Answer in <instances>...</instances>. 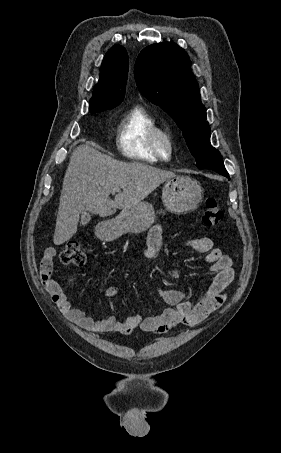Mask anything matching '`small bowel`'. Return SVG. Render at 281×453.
<instances>
[{
  "label": "small bowel",
  "mask_w": 281,
  "mask_h": 453,
  "mask_svg": "<svg viewBox=\"0 0 281 453\" xmlns=\"http://www.w3.org/2000/svg\"><path fill=\"white\" fill-rule=\"evenodd\" d=\"M160 225L150 228L147 236L145 256L148 260L155 259L162 245ZM187 246L197 254H206L207 262L215 273V280L209 292L195 300H188L183 291L177 289L156 288L157 297L171 306L154 317H142L132 315L120 321L116 317L115 308L105 318H97L87 314L78 307L72 306L64 289L52 278L54 258L56 252L47 250L41 257L40 277L45 287L51 293L53 299L58 302L68 319L79 327L91 331L93 334L111 333L128 336L135 329L145 332L163 334L179 324L194 326L199 324L210 312L220 308L226 300V291L234 279V268L230 257L222 254L212 247L208 238H195L187 241ZM164 275L177 278L180 276L178 267H170L164 271ZM120 293L118 286L112 285L105 289L104 297L113 303L116 295Z\"/></svg>",
  "instance_id": "obj_1"
}]
</instances>
